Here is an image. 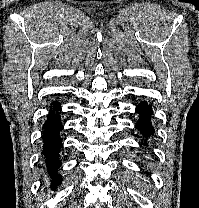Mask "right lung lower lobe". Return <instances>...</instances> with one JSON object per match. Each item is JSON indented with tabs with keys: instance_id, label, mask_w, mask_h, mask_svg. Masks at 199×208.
I'll use <instances>...</instances> for the list:
<instances>
[{
	"instance_id": "98d812e1",
	"label": "right lung lower lobe",
	"mask_w": 199,
	"mask_h": 208,
	"mask_svg": "<svg viewBox=\"0 0 199 208\" xmlns=\"http://www.w3.org/2000/svg\"><path fill=\"white\" fill-rule=\"evenodd\" d=\"M53 108H60V103L54 102ZM62 128L63 125L60 119L59 112H57L56 114L54 112L49 113L47 121L43 125L44 131L42 139L44 143L43 154L46 158L45 162L47 165L48 173L52 176V188H55L58 184L61 183V177L56 173V171L61 165L58 156L62 142L59 136V132L62 130Z\"/></svg>"
}]
</instances>
